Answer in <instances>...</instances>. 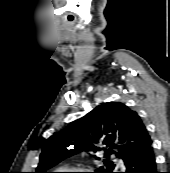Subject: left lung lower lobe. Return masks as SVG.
Masks as SVG:
<instances>
[{
	"label": "left lung lower lobe",
	"instance_id": "obj_1",
	"mask_svg": "<svg viewBox=\"0 0 170 173\" xmlns=\"http://www.w3.org/2000/svg\"><path fill=\"white\" fill-rule=\"evenodd\" d=\"M125 172L123 173H158L152 141L135 152L127 153L123 158ZM113 173H122L116 168Z\"/></svg>",
	"mask_w": 170,
	"mask_h": 173
}]
</instances>
